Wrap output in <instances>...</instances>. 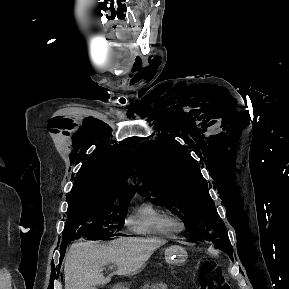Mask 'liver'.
Here are the masks:
<instances>
[{
  "instance_id": "liver-1",
  "label": "liver",
  "mask_w": 289,
  "mask_h": 289,
  "mask_svg": "<svg viewBox=\"0 0 289 289\" xmlns=\"http://www.w3.org/2000/svg\"><path fill=\"white\" fill-rule=\"evenodd\" d=\"M165 243L160 239L121 237L108 245L80 241L71 245L65 256V289H96L110 278L102 267L114 263L116 275H133L142 268L153 252Z\"/></svg>"
}]
</instances>
